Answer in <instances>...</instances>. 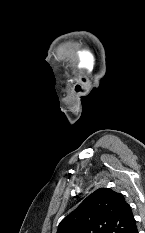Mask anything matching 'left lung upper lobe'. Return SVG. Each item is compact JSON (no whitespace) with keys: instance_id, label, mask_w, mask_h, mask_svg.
<instances>
[{"instance_id":"1","label":"left lung upper lobe","mask_w":145,"mask_h":233,"mask_svg":"<svg viewBox=\"0 0 145 233\" xmlns=\"http://www.w3.org/2000/svg\"><path fill=\"white\" fill-rule=\"evenodd\" d=\"M135 226L123 195L100 188L60 222L57 233H131Z\"/></svg>"}]
</instances>
